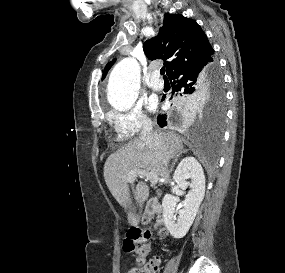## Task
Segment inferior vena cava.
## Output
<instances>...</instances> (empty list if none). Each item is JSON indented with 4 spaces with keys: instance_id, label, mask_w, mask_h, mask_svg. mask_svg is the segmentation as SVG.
<instances>
[{
    "instance_id": "602c4592",
    "label": "inferior vena cava",
    "mask_w": 285,
    "mask_h": 273,
    "mask_svg": "<svg viewBox=\"0 0 285 273\" xmlns=\"http://www.w3.org/2000/svg\"><path fill=\"white\" fill-rule=\"evenodd\" d=\"M141 140L150 142L153 146L156 147L158 156L162 160L163 164L167 166L168 159L165 155L163 145L161 142V136L159 132H153L152 130V123L150 120H147L143 123L142 130L140 133Z\"/></svg>"
}]
</instances>
